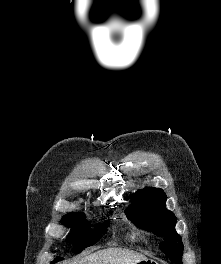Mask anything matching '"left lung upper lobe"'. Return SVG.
<instances>
[{
  "label": "left lung upper lobe",
  "instance_id": "left-lung-upper-lobe-1",
  "mask_svg": "<svg viewBox=\"0 0 221 264\" xmlns=\"http://www.w3.org/2000/svg\"><path fill=\"white\" fill-rule=\"evenodd\" d=\"M166 195L160 188H145L131 196L126 215L135 224L163 236L161 250L176 264H182L183 243L175 231V215L166 209Z\"/></svg>",
  "mask_w": 221,
  "mask_h": 264
}]
</instances>
